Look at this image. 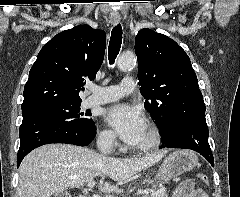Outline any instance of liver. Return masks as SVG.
Returning <instances> with one entry per match:
<instances>
[{
    "instance_id": "liver-1",
    "label": "liver",
    "mask_w": 240,
    "mask_h": 197,
    "mask_svg": "<svg viewBox=\"0 0 240 197\" xmlns=\"http://www.w3.org/2000/svg\"><path fill=\"white\" fill-rule=\"evenodd\" d=\"M163 154L145 158H113L69 144H49L30 152L19 167L16 197H51L68 188H79L95 177H108L116 184L99 181L103 193L156 164Z\"/></svg>"
}]
</instances>
